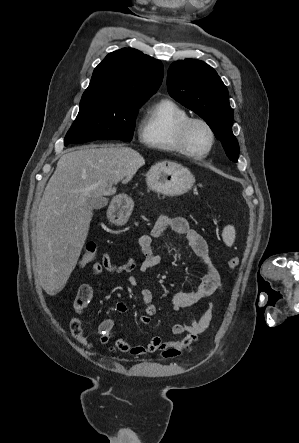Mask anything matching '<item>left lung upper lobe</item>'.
Here are the masks:
<instances>
[{"instance_id": "5c2ea615", "label": "left lung upper lobe", "mask_w": 299, "mask_h": 443, "mask_svg": "<svg viewBox=\"0 0 299 443\" xmlns=\"http://www.w3.org/2000/svg\"><path fill=\"white\" fill-rule=\"evenodd\" d=\"M167 86L171 97L206 121L229 159L237 162L239 145L232 133L233 111L227 88L216 71L202 61L179 60L169 67Z\"/></svg>"}]
</instances>
